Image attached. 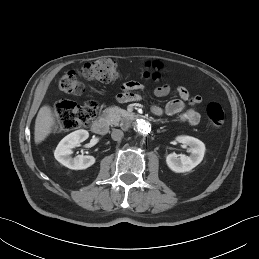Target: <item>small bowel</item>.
Segmentation results:
<instances>
[{
	"label": "small bowel",
	"instance_id": "c3829d8e",
	"mask_svg": "<svg viewBox=\"0 0 259 259\" xmlns=\"http://www.w3.org/2000/svg\"><path fill=\"white\" fill-rule=\"evenodd\" d=\"M140 89L141 85L135 81L124 83L121 91L116 96L117 101L125 103L140 100L142 96L137 92ZM169 92L170 87L168 85L158 86L154 90V94L157 97H164ZM176 93L178 98L170 100L164 108L158 105H152L150 107L151 112L156 116H161L163 113L169 116L179 115L182 122L197 125L200 122L201 116L195 105L200 104L202 98L200 96L191 97L189 91L183 86L177 87Z\"/></svg>",
	"mask_w": 259,
	"mask_h": 259
}]
</instances>
